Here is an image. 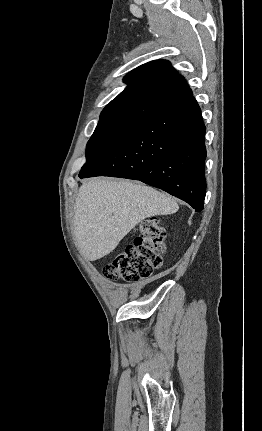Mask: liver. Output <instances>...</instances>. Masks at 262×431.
<instances>
[{"label":"liver","mask_w":262,"mask_h":431,"mask_svg":"<svg viewBox=\"0 0 262 431\" xmlns=\"http://www.w3.org/2000/svg\"><path fill=\"white\" fill-rule=\"evenodd\" d=\"M168 194L128 180L91 179L82 184L74 205V236L90 261L112 252L142 220L177 212Z\"/></svg>","instance_id":"1"}]
</instances>
